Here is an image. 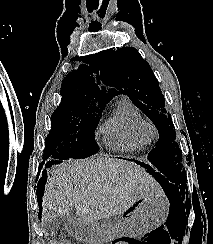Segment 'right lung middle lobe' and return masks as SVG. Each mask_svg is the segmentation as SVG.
Returning a JSON list of instances; mask_svg holds the SVG:
<instances>
[{"instance_id":"obj_1","label":"right lung middle lobe","mask_w":213,"mask_h":244,"mask_svg":"<svg viewBox=\"0 0 213 244\" xmlns=\"http://www.w3.org/2000/svg\"><path fill=\"white\" fill-rule=\"evenodd\" d=\"M102 110L83 106L57 108L51 117L43 157L85 158L98 151L93 132Z\"/></svg>"}]
</instances>
